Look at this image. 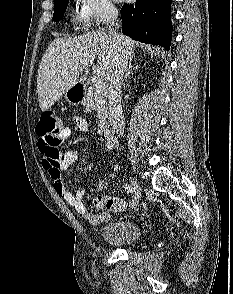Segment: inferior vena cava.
Wrapping results in <instances>:
<instances>
[{"label":"inferior vena cava","instance_id":"obj_1","mask_svg":"<svg viewBox=\"0 0 233 294\" xmlns=\"http://www.w3.org/2000/svg\"><path fill=\"white\" fill-rule=\"evenodd\" d=\"M118 11L116 9L111 10L108 14L107 22L109 24L113 23L117 19ZM110 34L114 41L116 47V53L112 63V68L109 76V94H108V103H109V119L113 125V129L116 131L118 136H122L124 132V116L121 106V84L123 80L124 73L127 69L128 57L122 50L121 46V37L109 26Z\"/></svg>","mask_w":233,"mask_h":294}]
</instances>
